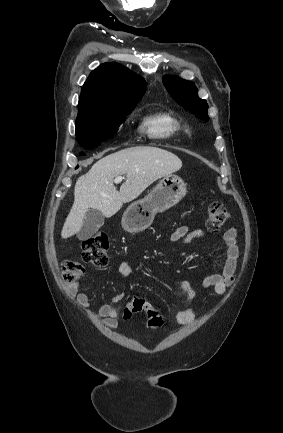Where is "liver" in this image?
<instances>
[{"label":"liver","instance_id":"1","mask_svg":"<svg viewBox=\"0 0 283 433\" xmlns=\"http://www.w3.org/2000/svg\"><path fill=\"white\" fill-rule=\"evenodd\" d=\"M181 166L182 160L176 154L157 146H130L100 158L76 180L74 202L61 231L62 239L79 233L89 208H98L109 219L123 202L134 200L151 182ZM120 174H126V178L120 190H116L114 178Z\"/></svg>","mask_w":283,"mask_h":433}]
</instances>
